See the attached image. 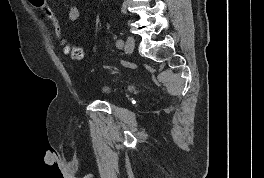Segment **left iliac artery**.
<instances>
[{"label": "left iliac artery", "mask_w": 264, "mask_h": 178, "mask_svg": "<svg viewBox=\"0 0 264 178\" xmlns=\"http://www.w3.org/2000/svg\"><path fill=\"white\" fill-rule=\"evenodd\" d=\"M123 45H124L123 40H122V39H118L117 42H116V46H117L118 48H122Z\"/></svg>", "instance_id": "44dca946"}]
</instances>
